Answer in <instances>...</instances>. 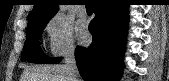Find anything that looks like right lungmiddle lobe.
Here are the masks:
<instances>
[{"label":"right lung middle lobe","mask_w":169,"mask_h":81,"mask_svg":"<svg viewBox=\"0 0 169 81\" xmlns=\"http://www.w3.org/2000/svg\"><path fill=\"white\" fill-rule=\"evenodd\" d=\"M48 21L49 19L34 22L28 25L26 42L21 57L22 61L47 64L52 59L42 52L39 41L42 31L47 25Z\"/></svg>","instance_id":"1"}]
</instances>
